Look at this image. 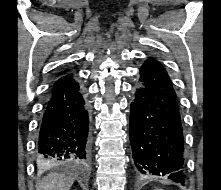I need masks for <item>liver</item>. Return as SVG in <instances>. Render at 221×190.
Segmentation results:
<instances>
[{
  "label": "liver",
  "instance_id": "6515ba94",
  "mask_svg": "<svg viewBox=\"0 0 221 190\" xmlns=\"http://www.w3.org/2000/svg\"><path fill=\"white\" fill-rule=\"evenodd\" d=\"M74 179L63 174L50 173L37 182V190H70Z\"/></svg>",
  "mask_w": 221,
  "mask_h": 190
}]
</instances>
